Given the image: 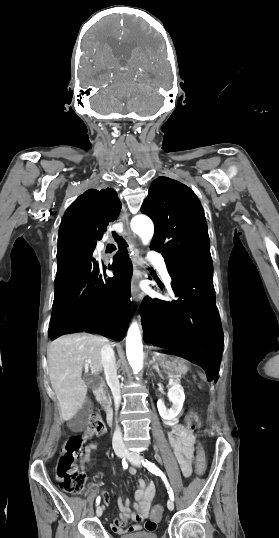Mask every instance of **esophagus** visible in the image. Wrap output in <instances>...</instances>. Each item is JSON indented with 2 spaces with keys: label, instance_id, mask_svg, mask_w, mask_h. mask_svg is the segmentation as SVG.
Here are the masks:
<instances>
[{
  "label": "esophagus",
  "instance_id": "34e87169",
  "mask_svg": "<svg viewBox=\"0 0 279 538\" xmlns=\"http://www.w3.org/2000/svg\"><path fill=\"white\" fill-rule=\"evenodd\" d=\"M120 221L123 224V232L122 236L126 240L129 251L131 253V261L133 264V276L131 280V293L134 300L139 299V293H138V280L140 277V271L139 266L141 263V258L139 256V250L137 248V244L135 242V237L133 233L131 232L130 226H129V219L127 214H123L120 216Z\"/></svg>",
  "mask_w": 279,
  "mask_h": 538
}]
</instances>
